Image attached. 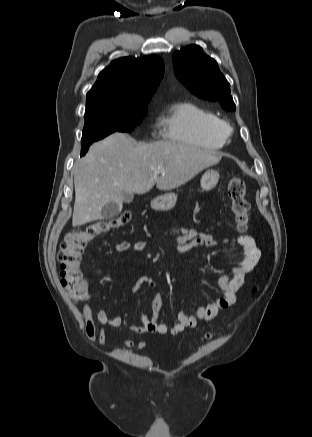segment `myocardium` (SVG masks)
I'll list each match as a JSON object with an SVG mask.
<instances>
[{
    "instance_id": "1",
    "label": "myocardium",
    "mask_w": 312,
    "mask_h": 437,
    "mask_svg": "<svg viewBox=\"0 0 312 437\" xmlns=\"http://www.w3.org/2000/svg\"><path fill=\"white\" fill-rule=\"evenodd\" d=\"M219 127L226 135L232 132V126L230 125L229 122L225 120H220Z\"/></svg>"
}]
</instances>
